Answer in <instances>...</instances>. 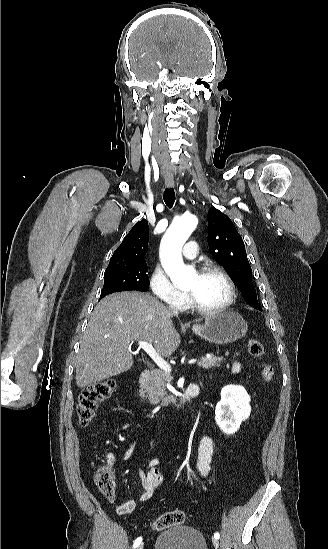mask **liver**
<instances>
[{"mask_svg":"<svg viewBox=\"0 0 328 549\" xmlns=\"http://www.w3.org/2000/svg\"><path fill=\"white\" fill-rule=\"evenodd\" d=\"M169 309L148 293L124 291L96 305L80 343L76 385L93 383L125 373L133 367L130 345L151 341L156 353L170 357L181 339Z\"/></svg>","mask_w":328,"mask_h":549,"instance_id":"obj_1","label":"liver"}]
</instances>
